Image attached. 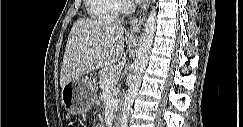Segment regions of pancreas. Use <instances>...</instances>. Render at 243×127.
Segmentation results:
<instances>
[{"instance_id":"1","label":"pancreas","mask_w":243,"mask_h":127,"mask_svg":"<svg viewBox=\"0 0 243 127\" xmlns=\"http://www.w3.org/2000/svg\"><path fill=\"white\" fill-rule=\"evenodd\" d=\"M116 69H117V67L115 66V65H109V66H106L104 69H102L101 71H100V73H99V78H100V82H99V84H100V86H101V83L106 79V78H108L109 76H110V74H112V73H116ZM116 82H113L112 84H111V87H112V89H113V93H114V95L116 96Z\"/></svg>"}]
</instances>
